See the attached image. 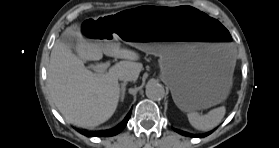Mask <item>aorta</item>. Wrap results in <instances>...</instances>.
I'll list each match as a JSON object with an SVG mask.
<instances>
[{
  "label": "aorta",
  "mask_w": 279,
  "mask_h": 148,
  "mask_svg": "<svg viewBox=\"0 0 279 148\" xmlns=\"http://www.w3.org/2000/svg\"><path fill=\"white\" fill-rule=\"evenodd\" d=\"M146 96L151 100H161L165 96V89L163 86L150 82L146 85Z\"/></svg>",
  "instance_id": "762f6f07"
}]
</instances>
